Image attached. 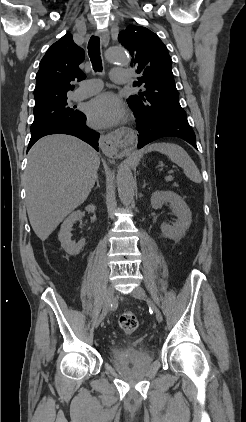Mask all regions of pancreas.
Segmentation results:
<instances>
[{"label": "pancreas", "mask_w": 246, "mask_h": 422, "mask_svg": "<svg viewBox=\"0 0 246 422\" xmlns=\"http://www.w3.org/2000/svg\"><path fill=\"white\" fill-rule=\"evenodd\" d=\"M171 179H172V177H170V176L166 178L167 181H170Z\"/></svg>", "instance_id": "1"}]
</instances>
